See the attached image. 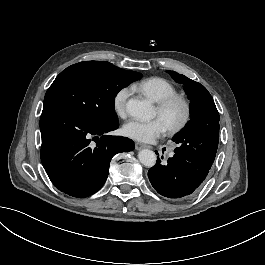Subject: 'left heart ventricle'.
<instances>
[{
  "mask_svg": "<svg viewBox=\"0 0 265 265\" xmlns=\"http://www.w3.org/2000/svg\"><path fill=\"white\" fill-rule=\"evenodd\" d=\"M181 116H182L181 107L175 105L168 111V113L164 118H160L159 116L158 117L163 121L164 124H176L181 119Z\"/></svg>",
  "mask_w": 265,
  "mask_h": 265,
  "instance_id": "obj_1",
  "label": "left heart ventricle"
}]
</instances>
